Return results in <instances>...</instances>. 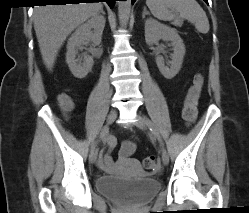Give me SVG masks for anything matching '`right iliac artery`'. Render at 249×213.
I'll list each match as a JSON object with an SVG mask.
<instances>
[{"label": "right iliac artery", "mask_w": 249, "mask_h": 213, "mask_svg": "<svg viewBox=\"0 0 249 213\" xmlns=\"http://www.w3.org/2000/svg\"><path fill=\"white\" fill-rule=\"evenodd\" d=\"M108 132H109V127L106 125V126H104L103 129L101 130V133H100L99 138L97 139V141H95V142L92 144V146H91V152L95 150L97 143H98L101 139H103V138L108 134Z\"/></svg>", "instance_id": "82829eb1"}]
</instances>
